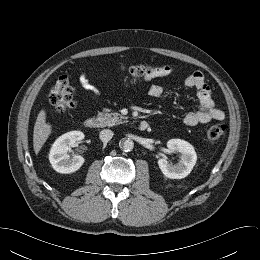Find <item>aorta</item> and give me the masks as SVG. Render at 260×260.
I'll list each match as a JSON object with an SVG mask.
<instances>
[{
    "instance_id": "aorta-1",
    "label": "aorta",
    "mask_w": 260,
    "mask_h": 260,
    "mask_svg": "<svg viewBox=\"0 0 260 260\" xmlns=\"http://www.w3.org/2000/svg\"><path fill=\"white\" fill-rule=\"evenodd\" d=\"M119 146L123 151L129 152L134 148V142L129 138L123 139L120 141Z\"/></svg>"
}]
</instances>
